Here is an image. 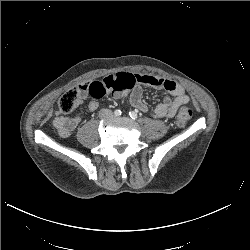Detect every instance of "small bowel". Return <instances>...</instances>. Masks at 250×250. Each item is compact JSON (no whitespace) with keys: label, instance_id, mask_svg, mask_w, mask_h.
Listing matches in <instances>:
<instances>
[{"label":"small bowel","instance_id":"c3829d8e","mask_svg":"<svg viewBox=\"0 0 250 250\" xmlns=\"http://www.w3.org/2000/svg\"><path fill=\"white\" fill-rule=\"evenodd\" d=\"M101 81L107 85L109 94L116 98L128 96L131 104L142 112L148 111V107L143 100L142 86H150L167 91L172 98H166L152 112L153 117L158 119L172 118L178 108L189 101L184 89L177 83L149 74L119 72L114 75H108ZM90 83L85 82L80 85V102H83L86 98ZM85 104L90 111L96 110L99 106L95 99H88L85 101ZM80 122V116L72 118L56 116L53 119V125L62 138L69 137Z\"/></svg>","mask_w":250,"mask_h":250}]
</instances>
